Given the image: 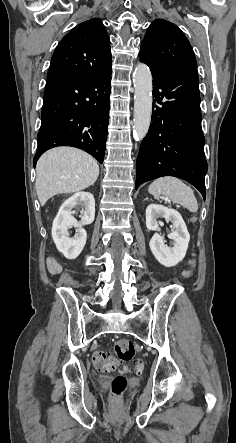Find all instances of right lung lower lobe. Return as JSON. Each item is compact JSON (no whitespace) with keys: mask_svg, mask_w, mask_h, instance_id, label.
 <instances>
[{"mask_svg":"<svg viewBox=\"0 0 236 443\" xmlns=\"http://www.w3.org/2000/svg\"><path fill=\"white\" fill-rule=\"evenodd\" d=\"M112 68L96 75L47 79L34 166L48 149L72 146L103 162Z\"/></svg>","mask_w":236,"mask_h":443,"instance_id":"1","label":"right lung lower lobe"}]
</instances>
